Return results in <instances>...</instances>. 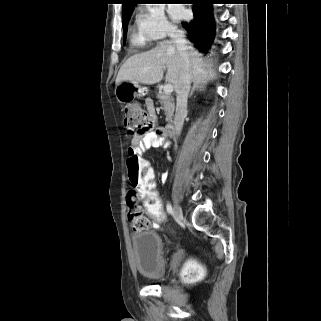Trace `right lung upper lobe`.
Returning a JSON list of instances; mask_svg holds the SVG:
<instances>
[{
  "instance_id": "obj_1",
  "label": "right lung upper lobe",
  "mask_w": 321,
  "mask_h": 321,
  "mask_svg": "<svg viewBox=\"0 0 321 321\" xmlns=\"http://www.w3.org/2000/svg\"><path fill=\"white\" fill-rule=\"evenodd\" d=\"M122 1H123L122 15H124L128 12H132L134 9V6L143 0H122Z\"/></svg>"
}]
</instances>
